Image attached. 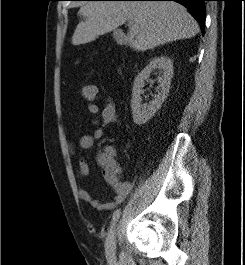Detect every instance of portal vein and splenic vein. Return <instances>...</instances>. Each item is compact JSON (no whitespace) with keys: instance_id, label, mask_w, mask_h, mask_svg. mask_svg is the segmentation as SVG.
<instances>
[{"instance_id":"18ae733b","label":"portal vein and splenic vein","mask_w":245,"mask_h":265,"mask_svg":"<svg viewBox=\"0 0 245 265\" xmlns=\"http://www.w3.org/2000/svg\"><path fill=\"white\" fill-rule=\"evenodd\" d=\"M133 22L129 21V24H132Z\"/></svg>"}]
</instances>
